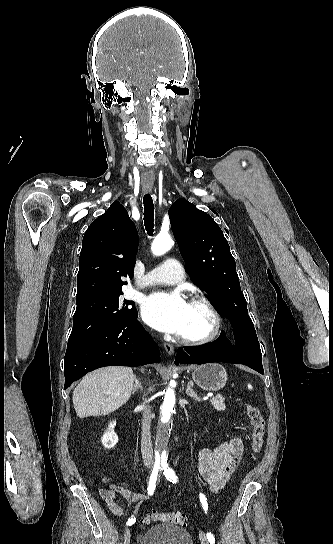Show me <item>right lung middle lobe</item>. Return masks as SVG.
<instances>
[{"label":"right lung middle lobe","instance_id":"1","mask_svg":"<svg viewBox=\"0 0 333 544\" xmlns=\"http://www.w3.org/2000/svg\"><path fill=\"white\" fill-rule=\"evenodd\" d=\"M122 294V290H115L76 299L77 307L68 345L120 325L137 314L135 303L121 298Z\"/></svg>","mask_w":333,"mask_h":544}]
</instances>
